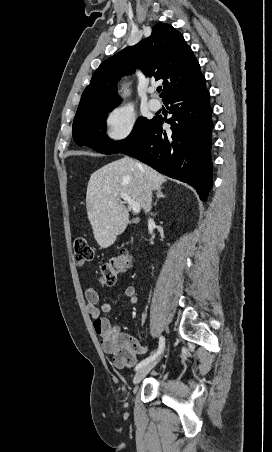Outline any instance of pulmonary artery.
Listing matches in <instances>:
<instances>
[{"label":"pulmonary artery","mask_w":272,"mask_h":452,"mask_svg":"<svg viewBox=\"0 0 272 452\" xmlns=\"http://www.w3.org/2000/svg\"><path fill=\"white\" fill-rule=\"evenodd\" d=\"M150 91L153 92L154 88H151ZM149 107H150L151 110L157 111V110H159L161 108V102L158 99H156V98H152L149 101Z\"/></svg>","instance_id":"1"}]
</instances>
